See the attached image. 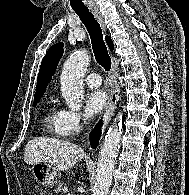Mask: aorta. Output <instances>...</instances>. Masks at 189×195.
<instances>
[{
    "instance_id": "1",
    "label": "aorta",
    "mask_w": 189,
    "mask_h": 195,
    "mask_svg": "<svg viewBox=\"0 0 189 195\" xmlns=\"http://www.w3.org/2000/svg\"><path fill=\"white\" fill-rule=\"evenodd\" d=\"M90 56L85 50L74 52L64 63L61 74V92L66 105L79 110L83 100V81ZM122 127L115 120L108 129L99 152L97 176L93 195H108L112 184V174L119 151Z\"/></svg>"
}]
</instances>
